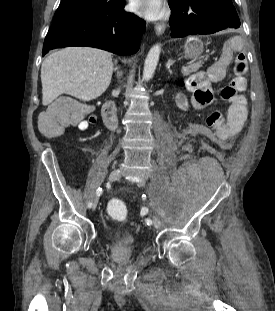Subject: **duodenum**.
Here are the masks:
<instances>
[{"instance_id": "duodenum-1", "label": "duodenum", "mask_w": 275, "mask_h": 311, "mask_svg": "<svg viewBox=\"0 0 275 311\" xmlns=\"http://www.w3.org/2000/svg\"><path fill=\"white\" fill-rule=\"evenodd\" d=\"M102 117L108 129L114 130L117 127V107L113 102H106L103 105Z\"/></svg>"}]
</instances>
